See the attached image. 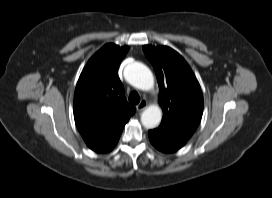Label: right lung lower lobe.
Here are the masks:
<instances>
[{"mask_svg": "<svg viewBox=\"0 0 272 198\" xmlns=\"http://www.w3.org/2000/svg\"><path fill=\"white\" fill-rule=\"evenodd\" d=\"M122 130H120L107 144H105L103 147H101L95 151L99 152V153H105V152L112 150L116 146V144L118 143V140H119Z\"/></svg>", "mask_w": 272, "mask_h": 198, "instance_id": "obj_1", "label": "right lung lower lobe"}]
</instances>
